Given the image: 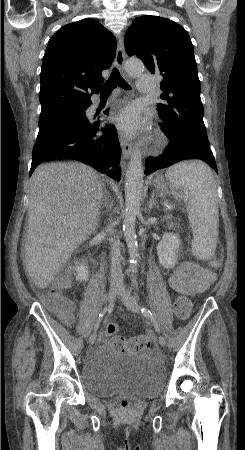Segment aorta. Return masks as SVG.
Returning a JSON list of instances; mask_svg holds the SVG:
<instances>
[{"mask_svg":"<svg viewBox=\"0 0 245 450\" xmlns=\"http://www.w3.org/2000/svg\"><path fill=\"white\" fill-rule=\"evenodd\" d=\"M125 70L131 76L140 75L144 71V64L138 59H127ZM142 156L139 150H134L125 177V213L123 232L132 263V271L136 266L138 253L137 236L135 231L136 216L140 211L143 192Z\"/></svg>","mask_w":245,"mask_h":450,"instance_id":"1","label":"aorta"}]
</instances>
